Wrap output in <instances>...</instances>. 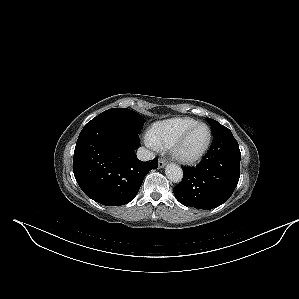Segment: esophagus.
<instances>
[{
    "instance_id": "esophagus-1",
    "label": "esophagus",
    "mask_w": 299,
    "mask_h": 299,
    "mask_svg": "<svg viewBox=\"0 0 299 299\" xmlns=\"http://www.w3.org/2000/svg\"><path fill=\"white\" fill-rule=\"evenodd\" d=\"M167 161L165 159H160L158 162L159 168H163L166 165Z\"/></svg>"
}]
</instances>
